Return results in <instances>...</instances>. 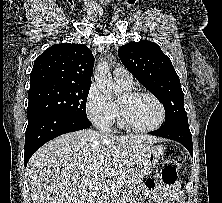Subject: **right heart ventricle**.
<instances>
[{
	"instance_id": "right-heart-ventricle-1",
	"label": "right heart ventricle",
	"mask_w": 222,
	"mask_h": 203,
	"mask_svg": "<svg viewBox=\"0 0 222 203\" xmlns=\"http://www.w3.org/2000/svg\"><path fill=\"white\" fill-rule=\"evenodd\" d=\"M116 110H117V108H116ZM115 120H117V125L119 126V127H122L123 125L121 124V121H120V118H119V114H118V110H117V113H116V119Z\"/></svg>"
}]
</instances>
